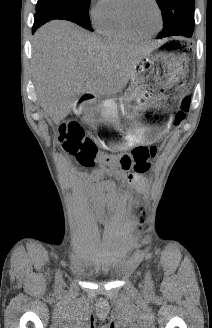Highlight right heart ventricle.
<instances>
[{
    "instance_id": "obj_1",
    "label": "right heart ventricle",
    "mask_w": 212,
    "mask_h": 328,
    "mask_svg": "<svg viewBox=\"0 0 212 328\" xmlns=\"http://www.w3.org/2000/svg\"><path fill=\"white\" fill-rule=\"evenodd\" d=\"M123 0H100L94 13V24L104 36L116 40H134L141 36L133 32L122 16Z\"/></svg>"
}]
</instances>
